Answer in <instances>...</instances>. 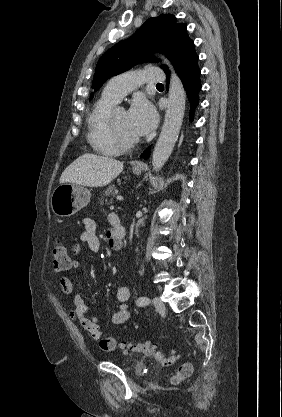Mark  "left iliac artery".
I'll return each instance as SVG.
<instances>
[{
	"mask_svg": "<svg viewBox=\"0 0 282 417\" xmlns=\"http://www.w3.org/2000/svg\"><path fill=\"white\" fill-rule=\"evenodd\" d=\"M137 305L138 306H145L148 305L150 303V299L147 297H140L137 299Z\"/></svg>",
	"mask_w": 282,
	"mask_h": 417,
	"instance_id": "left-iliac-artery-1",
	"label": "left iliac artery"
}]
</instances>
